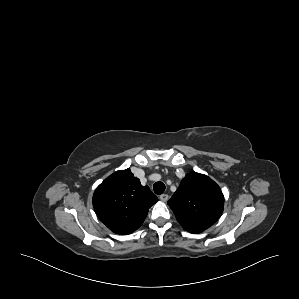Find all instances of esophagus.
Returning <instances> with one entry per match:
<instances>
[{
  "label": "esophagus",
  "instance_id": "esophagus-1",
  "mask_svg": "<svg viewBox=\"0 0 299 299\" xmlns=\"http://www.w3.org/2000/svg\"><path fill=\"white\" fill-rule=\"evenodd\" d=\"M159 198L161 201L166 202L168 200L169 196L167 194H161Z\"/></svg>",
  "mask_w": 299,
  "mask_h": 299
}]
</instances>
